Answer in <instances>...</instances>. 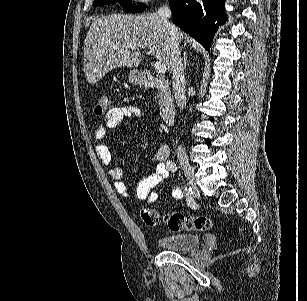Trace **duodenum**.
<instances>
[{
	"instance_id": "obj_1",
	"label": "duodenum",
	"mask_w": 307,
	"mask_h": 301,
	"mask_svg": "<svg viewBox=\"0 0 307 301\" xmlns=\"http://www.w3.org/2000/svg\"><path fill=\"white\" fill-rule=\"evenodd\" d=\"M141 81L145 86L157 88L161 92L160 116L166 125H172L175 120L176 109L169 82L150 73H142Z\"/></svg>"
}]
</instances>
